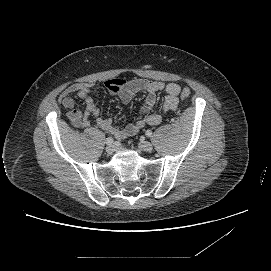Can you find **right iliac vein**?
<instances>
[{"instance_id": "right-iliac-vein-1", "label": "right iliac vein", "mask_w": 271, "mask_h": 271, "mask_svg": "<svg viewBox=\"0 0 271 271\" xmlns=\"http://www.w3.org/2000/svg\"><path fill=\"white\" fill-rule=\"evenodd\" d=\"M115 151V146L114 145H109L106 147V152L109 154H112Z\"/></svg>"}]
</instances>
